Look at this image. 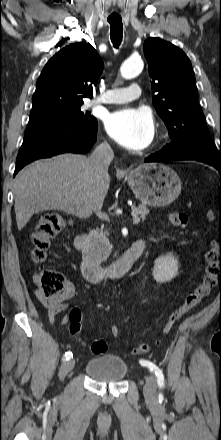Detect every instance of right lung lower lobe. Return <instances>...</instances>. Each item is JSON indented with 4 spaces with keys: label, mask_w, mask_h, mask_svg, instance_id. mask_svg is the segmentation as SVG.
Instances as JSON below:
<instances>
[{
    "label": "right lung lower lobe",
    "mask_w": 221,
    "mask_h": 440,
    "mask_svg": "<svg viewBox=\"0 0 221 440\" xmlns=\"http://www.w3.org/2000/svg\"><path fill=\"white\" fill-rule=\"evenodd\" d=\"M97 124L91 128H72L43 123L26 129L18 152L14 176L25 165L40 158L72 152L87 153L96 142Z\"/></svg>",
    "instance_id": "98d812e1"
}]
</instances>
